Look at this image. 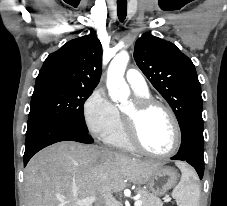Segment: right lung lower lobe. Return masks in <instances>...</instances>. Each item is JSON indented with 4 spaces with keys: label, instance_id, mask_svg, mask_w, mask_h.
I'll return each mask as SVG.
<instances>
[{
    "label": "right lung lower lobe",
    "instance_id": "98d812e1",
    "mask_svg": "<svg viewBox=\"0 0 227 206\" xmlns=\"http://www.w3.org/2000/svg\"><path fill=\"white\" fill-rule=\"evenodd\" d=\"M67 140L86 144L94 142L85 128L68 122L46 120L29 127L26 132L24 166L39 150L53 143Z\"/></svg>",
    "mask_w": 227,
    "mask_h": 206
}]
</instances>
